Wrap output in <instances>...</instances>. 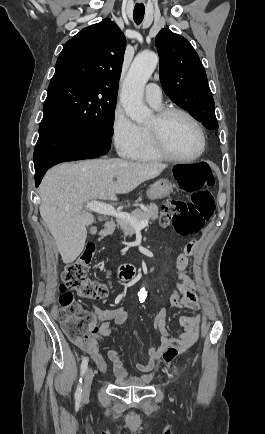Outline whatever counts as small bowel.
<instances>
[{
	"label": "small bowel",
	"instance_id": "1",
	"mask_svg": "<svg viewBox=\"0 0 265 434\" xmlns=\"http://www.w3.org/2000/svg\"><path fill=\"white\" fill-rule=\"evenodd\" d=\"M195 245V241H190L177 256L174 266L175 284L169 293L167 304L160 309L153 321L158 344L152 343L147 346L144 358L136 365L140 372L128 378L118 348L108 350L107 357L112 362L113 372L117 378V387H142L145 385V381L147 382L150 379V372L155 368L156 362L165 351L167 340H178L180 353L189 350L198 341L203 319L201 314L180 316L179 324L183 332L173 333L166 327V319L170 310L175 308L199 310L201 307L200 297L197 294L198 286L186 273ZM146 290L145 287H141L139 293ZM91 312L98 316L102 323L98 328L91 331L85 350L95 359L96 364H102L103 358L100 355V344L107 343L115 338L117 327L127 323L128 314L126 309L122 307L111 309L103 307Z\"/></svg>",
	"mask_w": 265,
	"mask_h": 434
}]
</instances>
